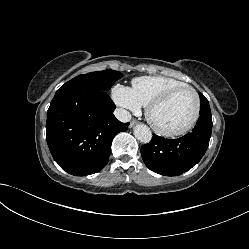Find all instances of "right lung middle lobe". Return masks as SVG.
Returning a JSON list of instances; mask_svg holds the SVG:
<instances>
[{"instance_id": "1", "label": "right lung middle lobe", "mask_w": 249, "mask_h": 249, "mask_svg": "<svg viewBox=\"0 0 249 249\" xmlns=\"http://www.w3.org/2000/svg\"><path fill=\"white\" fill-rule=\"evenodd\" d=\"M122 76L123 75L118 71L104 70L79 75L68 82L91 85L97 87L100 91L107 92L112 87L114 82Z\"/></svg>"}]
</instances>
